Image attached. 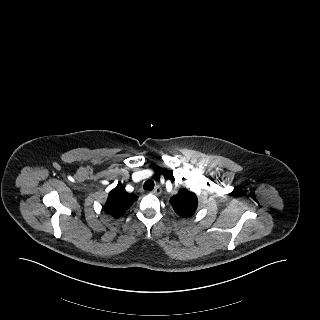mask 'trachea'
<instances>
[{"label": "trachea", "instance_id": "1", "mask_svg": "<svg viewBox=\"0 0 320 320\" xmlns=\"http://www.w3.org/2000/svg\"><path fill=\"white\" fill-rule=\"evenodd\" d=\"M144 190L151 191L154 188V182L152 180H147L143 185Z\"/></svg>", "mask_w": 320, "mask_h": 320}]
</instances>
